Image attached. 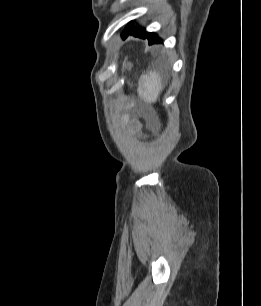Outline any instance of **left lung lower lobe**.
<instances>
[{
    "label": "left lung lower lobe",
    "instance_id": "0a47b994",
    "mask_svg": "<svg viewBox=\"0 0 261 306\" xmlns=\"http://www.w3.org/2000/svg\"><path fill=\"white\" fill-rule=\"evenodd\" d=\"M129 34L135 37L147 38L150 44L161 42V39L155 33L146 32L144 28L134 27L133 22L122 33L123 38L125 39Z\"/></svg>",
    "mask_w": 261,
    "mask_h": 306
}]
</instances>
